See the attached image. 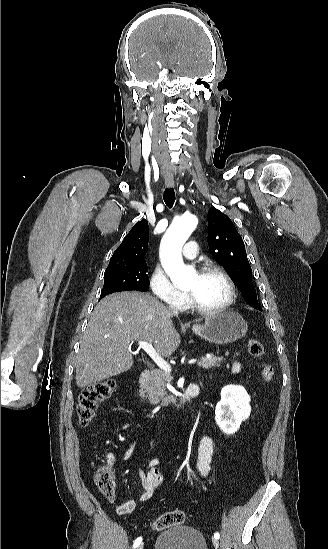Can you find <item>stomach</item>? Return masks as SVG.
<instances>
[{
    "label": "stomach",
    "mask_w": 328,
    "mask_h": 549,
    "mask_svg": "<svg viewBox=\"0 0 328 549\" xmlns=\"http://www.w3.org/2000/svg\"><path fill=\"white\" fill-rule=\"evenodd\" d=\"M192 331L209 343L226 345L245 337L248 325L240 313L233 309H224L217 315L206 317L204 325H193Z\"/></svg>",
    "instance_id": "stomach-1"
}]
</instances>
